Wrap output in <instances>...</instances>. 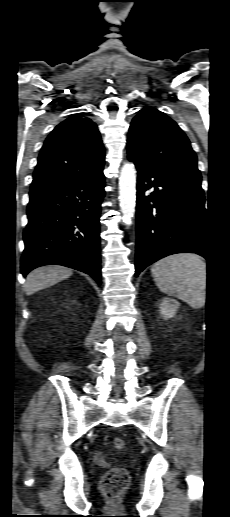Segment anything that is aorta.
Masks as SVG:
<instances>
[{"instance_id":"762f6f07","label":"aorta","mask_w":230,"mask_h":517,"mask_svg":"<svg viewBox=\"0 0 230 517\" xmlns=\"http://www.w3.org/2000/svg\"><path fill=\"white\" fill-rule=\"evenodd\" d=\"M119 201L123 220L130 225L136 206V170L131 163L124 164L120 171Z\"/></svg>"}]
</instances>
